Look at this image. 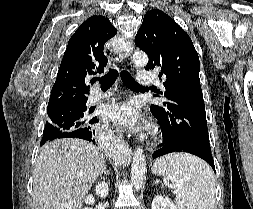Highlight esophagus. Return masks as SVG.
I'll return each instance as SVG.
<instances>
[{
    "label": "esophagus",
    "instance_id": "1",
    "mask_svg": "<svg viewBox=\"0 0 253 209\" xmlns=\"http://www.w3.org/2000/svg\"><path fill=\"white\" fill-rule=\"evenodd\" d=\"M122 44L124 46V49H125V57H128L130 56V54L132 53L133 51V45L131 42L127 41L126 39H123L122 40ZM107 128L112 132L114 133L117 137H121V132L118 130L117 127L115 126H107Z\"/></svg>",
    "mask_w": 253,
    "mask_h": 209
}]
</instances>
